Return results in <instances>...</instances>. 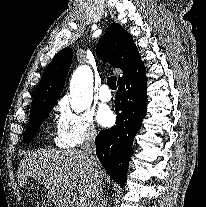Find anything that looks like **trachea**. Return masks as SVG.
<instances>
[{
    "mask_svg": "<svg viewBox=\"0 0 206 207\" xmlns=\"http://www.w3.org/2000/svg\"><path fill=\"white\" fill-rule=\"evenodd\" d=\"M116 80H117V77H116V76H111V77H109L108 80H107V84H108V86H109L112 90H116V89H117Z\"/></svg>",
    "mask_w": 206,
    "mask_h": 207,
    "instance_id": "obj_1",
    "label": "trachea"
}]
</instances>
